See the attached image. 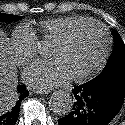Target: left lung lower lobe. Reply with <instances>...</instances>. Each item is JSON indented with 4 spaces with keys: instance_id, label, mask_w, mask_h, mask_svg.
Segmentation results:
<instances>
[{
    "instance_id": "obj_1",
    "label": "left lung lower lobe",
    "mask_w": 125,
    "mask_h": 125,
    "mask_svg": "<svg viewBox=\"0 0 125 125\" xmlns=\"http://www.w3.org/2000/svg\"><path fill=\"white\" fill-rule=\"evenodd\" d=\"M72 112L59 125H106L120 111L125 97V73L98 82H87L72 90Z\"/></svg>"
}]
</instances>
